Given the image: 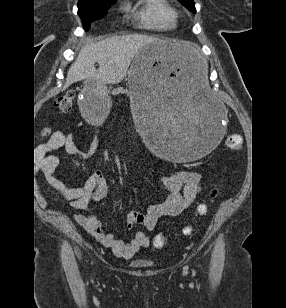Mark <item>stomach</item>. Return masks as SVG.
I'll use <instances>...</instances> for the list:
<instances>
[{"label":"stomach","mask_w":286,"mask_h":308,"mask_svg":"<svg viewBox=\"0 0 286 308\" xmlns=\"http://www.w3.org/2000/svg\"><path fill=\"white\" fill-rule=\"evenodd\" d=\"M207 55L201 44L186 40H156L144 44L128 72V88L136 118L143 125L144 144L151 159L169 164H194L211 153L216 144H226L224 100L211 96ZM109 85L87 79L78 103L91 124L109 116Z\"/></svg>","instance_id":"1"}]
</instances>
